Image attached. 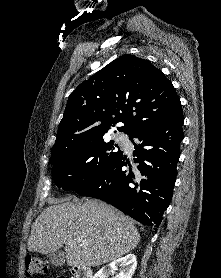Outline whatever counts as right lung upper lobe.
Here are the masks:
<instances>
[{
	"label": "right lung upper lobe",
	"mask_w": 221,
	"mask_h": 278,
	"mask_svg": "<svg viewBox=\"0 0 221 278\" xmlns=\"http://www.w3.org/2000/svg\"><path fill=\"white\" fill-rule=\"evenodd\" d=\"M181 114L171 81L148 60L122 55L71 93L52 151L103 136L118 122L130 134Z\"/></svg>",
	"instance_id": "obj_1"
}]
</instances>
